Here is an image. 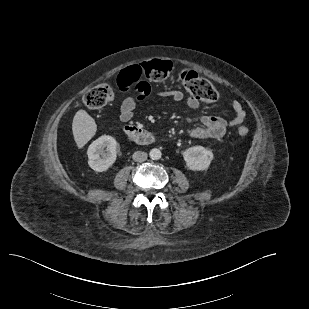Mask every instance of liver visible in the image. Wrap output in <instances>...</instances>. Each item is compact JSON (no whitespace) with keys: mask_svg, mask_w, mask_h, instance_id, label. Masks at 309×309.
Returning a JSON list of instances; mask_svg holds the SVG:
<instances>
[{"mask_svg":"<svg viewBox=\"0 0 309 309\" xmlns=\"http://www.w3.org/2000/svg\"><path fill=\"white\" fill-rule=\"evenodd\" d=\"M97 131L94 119L84 110H78L73 118L72 132L78 148H82Z\"/></svg>","mask_w":309,"mask_h":309,"instance_id":"1","label":"liver"}]
</instances>
